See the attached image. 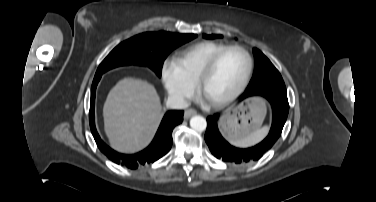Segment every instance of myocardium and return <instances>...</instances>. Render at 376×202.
I'll use <instances>...</instances> for the list:
<instances>
[{"label":"myocardium","instance_id":"myocardium-1","mask_svg":"<svg viewBox=\"0 0 376 202\" xmlns=\"http://www.w3.org/2000/svg\"><path fill=\"white\" fill-rule=\"evenodd\" d=\"M231 50L240 51L241 53H243L245 55V57L247 59V67H246V71H245V74L243 76V79H242L241 83L239 84V86L232 93H230L229 95H227L226 97H224L222 99H219V100H214V101L213 100H209L206 97V94H205V85H206V82H207L208 78L210 77V75L212 74V72L214 71V69L216 68V66L218 65V63L221 60V58L227 52H229ZM253 64H254L253 57H252L251 53L245 47H243L241 45H229V46H226L225 48H223L222 50H220L219 52H217L205 64V66L203 67L202 71L200 72V74L198 76V79H197V82H196V86H197L199 94L203 97V99L207 102V104L209 106H211L213 108H222V107H225L226 105H228L231 102H233L236 98H238L243 93V91L245 90V88L247 87V85L249 83V80H250V76H251L252 70H253Z\"/></svg>","mask_w":376,"mask_h":202}]
</instances>
